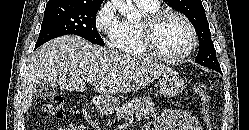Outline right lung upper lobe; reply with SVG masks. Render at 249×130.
Here are the masks:
<instances>
[{
    "mask_svg": "<svg viewBox=\"0 0 249 130\" xmlns=\"http://www.w3.org/2000/svg\"><path fill=\"white\" fill-rule=\"evenodd\" d=\"M61 1H70V2H74V3H80V4H98V3L103 2V0H49L47 5L61 2Z\"/></svg>",
    "mask_w": 249,
    "mask_h": 130,
    "instance_id": "1",
    "label": "right lung upper lobe"
}]
</instances>
